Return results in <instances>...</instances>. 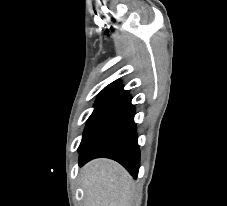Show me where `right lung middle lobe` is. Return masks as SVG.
Returning <instances> with one entry per match:
<instances>
[{
  "instance_id": "1",
  "label": "right lung middle lobe",
  "mask_w": 227,
  "mask_h": 206,
  "mask_svg": "<svg viewBox=\"0 0 227 206\" xmlns=\"http://www.w3.org/2000/svg\"><path fill=\"white\" fill-rule=\"evenodd\" d=\"M127 93L128 91H124L121 84H110L100 92L94 105L95 109L87 121L82 142L94 129L100 118Z\"/></svg>"
}]
</instances>
